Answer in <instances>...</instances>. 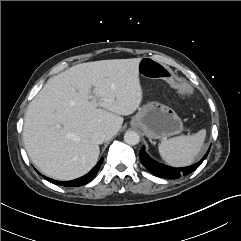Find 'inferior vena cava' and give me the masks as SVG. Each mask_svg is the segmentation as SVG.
I'll return each mask as SVG.
<instances>
[{"label": "inferior vena cava", "instance_id": "602c4592", "mask_svg": "<svg viewBox=\"0 0 241 241\" xmlns=\"http://www.w3.org/2000/svg\"><path fill=\"white\" fill-rule=\"evenodd\" d=\"M105 139H106L105 133L100 130L93 132L91 135V140L95 144H102Z\"/></svg>", "mask_w": 241, "mask_h": 241}]
</instances>
